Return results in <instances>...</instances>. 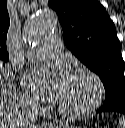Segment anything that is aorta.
<instances>
[{
    "mask_svg": "<svg viewBox=\"0 0 125 128\" xmlns=\"http://www.w3.org/2000/svg\"><path fill=\"white\" fill-rule=\"evenodd\" d=\"M57 25L53 11L46 10L27 20L23 28V38L26 42L37 43L51 33Z\"/></svg>",
    "mask_w": 125,
    "mask_h": 128,
    "instance_id": "762f6f07",
    "label": "aorta"
}]
</instances>
